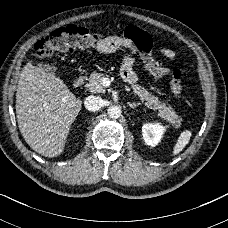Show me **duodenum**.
I'll list each match as a JSON object with an SVG mask.
<instances>
[{
    "instance_id": "1",
    "label": "duodenum",
    "mask_w": 228,
    "mask_h": 228,
    "mask_svg": "<svg viewBox=\"0 0 228 228\" xmlns=\"http://www.w3.org/2000/svg\"><path fill=\"white\" fill-rule=\"evenodd\" d=\"M84 78L82 76H78L73 80V86L75 88H80L83 86Z\"/></svg>"
}]
</instances>
